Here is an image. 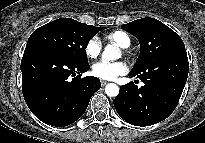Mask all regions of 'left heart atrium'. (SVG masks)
<instances>
[{
	"instance_id": "left-heart-atrium-1",
	"label": "left heart atrium",
	"mask_w": 205,
	"mask_h": 143,
	"mask_svg": "<svg viewBox=\"0 0 205 143\" xmlns=\"http://www.w3.org/2000/svg\"><path fill=\"white\" fill-rule=\"evenodd\" d=\"M128 67L124 62L98 61L92 66V74L103 80H114L127 72Z\"/></svg>"
}]
</instances>
